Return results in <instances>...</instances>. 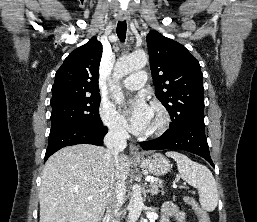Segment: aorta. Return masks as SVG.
Returning a JSON list of instances; mask_svg holds the SVG:
<instances>
[{
    "mask_svg": "<svg viewBox=\"0 0 257 222\" xmlns=\"http://www.w3.org/2000/svg\"><path fill=\"white\" fill-rule=\"evenodd\" d=\"M147 61V55L143 51H136L130 55H123L118 59L114 68L113 83L110 84L112 98L117 104H122L124 101L121 88L117 85L118 80L135 70L142 69L147 64ZM143 206L141 190L138 186H134L128 206V222H136L138 220Z\"/></svg>",
    "mask_w": 257,
    "mask_h": 222,
    "instance_id": "1",
    "label": "aorta"
}]
</instances>
